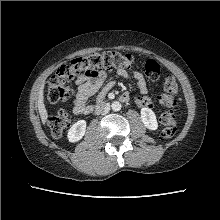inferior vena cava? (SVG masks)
Segmentation results:
<instances>
[{
	"instance_id": "inferior-vena-cava-1",
	"label": "inferior vena cava",
	"mask_w": 220,
	"mask_h": 220,
	"mask_svg": "<svg viewBox=\"0 0 220 220\" xmlns=\"http://www.w3.org/2000/svg\"><path fill=\"white\" fill-rule=\"evenodd\" d=\"M110 111L109 104H102L96 108V113L107 114Z\"/></svg>"
}]
</instances>
